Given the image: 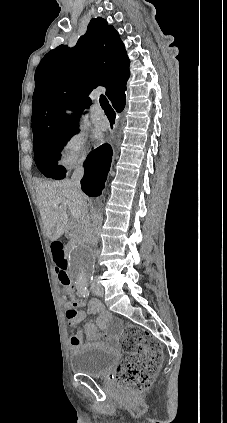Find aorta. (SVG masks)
Masks as SVG:
<instances>
[{
  "label": "aorta",
  "mask_w": 227,
  "mask_h": 423,
  "mask_svg": "<svg viewBox=\"0 0 227 423\" xmlns=\"http://www.w3.org/2000/svg\"><path fill=\"white\" fill-rule=\"evenodd\" d=\"M94 270L92 249L87 245H80L72 250L69 256V275L78 286H85L89 282Z\"/></svg>",
  "instance_id": "1"
}]
</instances>
